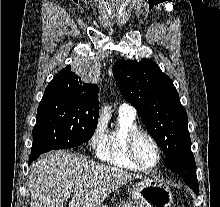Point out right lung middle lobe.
<instances>
[{
	"label": "right lung middle lobe",
	"mask_w": 220,
	"mask_h": 207,
	"mask_svg": "<svg viewBox=\"0 0 220 207\" xmlns=\"http://www.w3.org/2000/svg\"><path fill=\"white\" fill-rule=\"evenodd\" d=\"M99 107L80 97L44 94L37 109L31 155L66 149L88 141L96 128Z\"/></svg>",
	"instance_id": "obj_1"
}]
</instances>
